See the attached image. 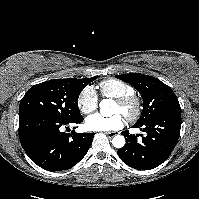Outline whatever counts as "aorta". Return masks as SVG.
<instances>
[{
	"instance_id": "1",
	"label": "aorta",
	"mask_w": 199,
	"mask_h": 199,
	"mask_svg": "<svg viewBox=\"0 0 199 199\" xmlns=\"http://www.w3.org/2000/svg\"><path fill=\"white\" fill-rule=\"evenodd\" d=\"M115 106L116 103L112 99H103L100 102V113L104 117H109L113 114V109ZM112 144L115 148H122L125 145V138L122 135H116L112 139Z\"/></svg>"
}]
</instances>
